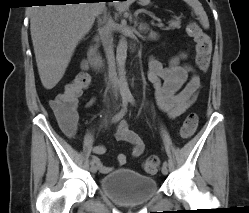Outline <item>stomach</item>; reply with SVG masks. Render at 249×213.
Returning a JSON list of instances; mask_svg holds the SVG:
<instances>
[{"label":"stomach","mask_w":249,"mask_h":213,"mask_svg":"<svg viewBox=\"0 0 249 213\" xmlns=\"http://www.w3.org/2000/svg\"><path fill=\"white\" fill-rule=\"evenodd\" d=\"M149 3V0H140L141 5H147Z\"/></svg>","instance_id":"0dacf381"}]
</instances>
